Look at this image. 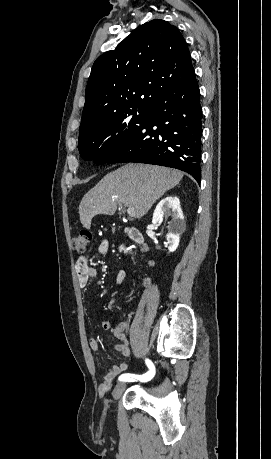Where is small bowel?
Returning a JSON list of instances; mask_svg holds the SVG:
<instances>
[{"label":"small bowel","instance_id":"1","mask_svg":"<svg viewBox=\"0 0 271 459\" xmlns=\"http://www.w3.org/2000/svg\"><path fill=\"white\" fill-rule=\"evenodd\" d=\"M110 249V244L107 239H102L98 243L96 253L100 256H105ZM91 259L88 255H83L78 258L76 261L75 269L78 278V282L81 288H85L91 278L96 275V269L91 265ZM125 273L123 271L119 272L116 277V282L121 283L124 279ZM102 328L104 330L111 329L110 320H104L102 322ZM128 326L126 323H119L117 327L113 330L115 337L118 342L115 344L114 349L121 353L122 356L128 358L130 357V347L129 340L126 335V330ZM89 346L92 351H97L99 349V344L97 340L90 339ZM128 368V363L123 362L120 364L113 365L110 369L106 371L103 377V383L99 388V393L105 395L108 390L111 388L113 381L117 378L123 371Z\"/></svg>","mask_w":271,"mask_h":459}]
</instances>
